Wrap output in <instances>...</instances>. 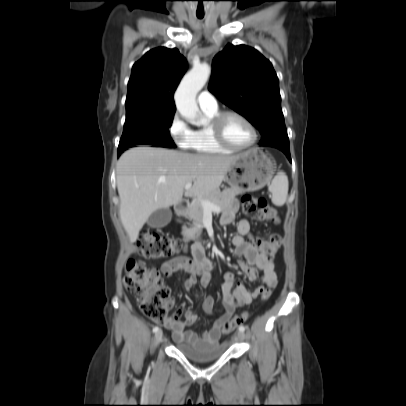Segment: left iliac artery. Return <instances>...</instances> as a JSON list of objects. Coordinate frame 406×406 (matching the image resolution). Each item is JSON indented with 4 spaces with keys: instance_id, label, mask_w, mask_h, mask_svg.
I'll use <instances>...</instances> for the list:
<instances>
[{
    "instance_id": "44dca946",
    "label": "left iliac artery",
    "mask_w": 406,
    "mask_h": 406,
    "mask_svg": "<svg viewBox=\"0 0 406 406\" xmlns=\"http://www.w3.org/2000/svg\"><path fill=\"white\" fill-rule=\"evenodd\" d=\"M239 331L244 332L245 331V327L243 325L239 326Z\"/></svg>"
}]
</instances>
